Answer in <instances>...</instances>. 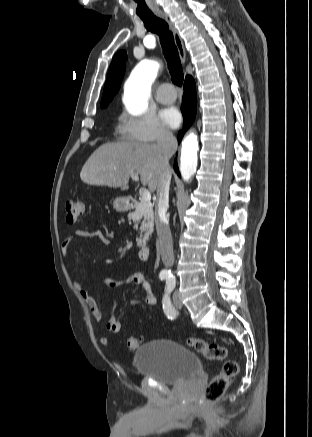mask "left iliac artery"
<instances>
[{"label":"left iliac artery","mask_w":312,"mask_h":437,"mask_svg":"<svg viewBox=\"0 0 312 437\" xmlns=\"http://www.w3.org/2000/svg\"><path fill=\"white\" fill-rule=\"evenodd\" d=\"M175 288V279L174 278H168L166 281V288H165V294L163 296L162 304H163V310L168 318H175L176 317V310L174 309L171 300H170V293Z\"/></svg>","instance_id":"obj_1"}]
</instances>
